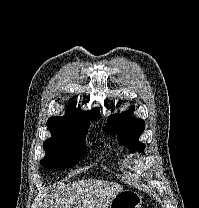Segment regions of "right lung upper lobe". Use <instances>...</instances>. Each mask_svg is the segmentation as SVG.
Wrapping results in <instances>:
<instances>
[{"mask_svg": "<svg viewBox=\"0 0 199 208\" xmlns=\"http://www.w3.org/2000/svg\"><path fill=\"white\" fill-rule=\"evenodd\" d=\"M88 118L98 120L99 110L95 108L87 115V113L80 108L76 109V106L73 104L69 106L65 116L50 117L47 121V125L48 128L54 132L86 131L85 128H87L89 123Z\"/></svg>", "mask_w": 199, "mask_h": 208, "instance_id": "1", "label": "right lung upper lobe"}]
</instances>
